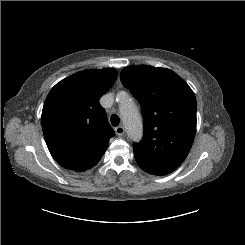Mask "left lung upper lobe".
I'll return each instance as SVG.
<instances>
[{
    "label": "left lung upper lobe",
    "instance_id": "obj_1",
    "mask_svg": "<svg viewBox=\"0 0 245 245\" xmlns=\"http://www.w3.org/2000/svg\"><path fill=\"white\" fill-rule=\"evenodd\" d=\"M123 85L142 107L144 135L133 144L137 163L176 170L187 157L196 132V98L188 84L167 68H123Z\"/></svg>",
    "mask_w": 245,
    "mask_h": 245
}]
</instances>
